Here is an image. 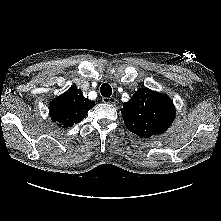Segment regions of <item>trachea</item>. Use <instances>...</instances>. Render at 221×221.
Segmentation results:
<instances>
[{"mask_svg": "<svg viewBox=\"0 0 221 221\" xmlns=\"http://www.w3.org/2000/svg\"><path fill=\"white\" fill-rule=\"evenodd\" d=\"M101 95L104 97H110L112 95V88L108 83H103L100 88Z\"/></svg>", "mask_w": 221, "mask_h": 221, "instance_id": "trachea-1", "label": "trachea"}]
</instances>
